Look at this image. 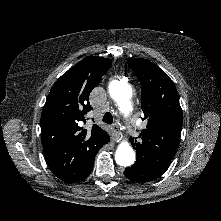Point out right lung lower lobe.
Instances as JSON below:
<instances>
[{"instance_id": "right-lung-lower-lobe-1", "label": "right lung lower lobe", "mask_w": 221, "mask_h": 221, "mask_svg": "<svg viewBox=\"0 0 221 221\" xmlns=\"http://www.w3.org/2000/svg\"><path fill=\"white\" fill-rule=\"evenodd\" d=\"M95 158V157H94ZM94 158L91 160V162L88 164L85 172L83 173L82 177L79 179V181H82L84 179H86L90 173L92 172L93 169V164H94Z\"/></svg>"}]
</instances>
